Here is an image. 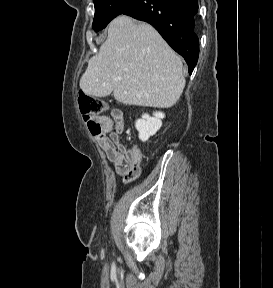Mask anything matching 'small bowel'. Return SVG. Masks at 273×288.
Here are the masks:
<instances>
[{
    "label": "small bowel",
    "mask_w": 273,
    "mask_h": 288,
    "mask_svg": "<svg viewBox=\"0 0 273 288\" xmlns=\"http://www.w3.org/2000/svg\"><path fill=\"white\" fill-rule=\"evenodd\" d=\"M102 135L98 143L107 158L113 163L116 172L126 183L136 180L141 173L142 153L137 146L128 149L120 142V134L125 128V116L119 109H113L110 116H100Z\"/></svg>",
    "instance_id": "small-bowel-1"
}]
</instances>
